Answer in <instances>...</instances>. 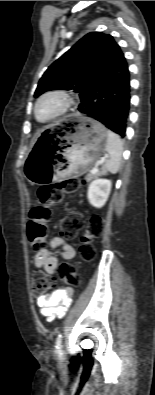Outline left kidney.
I'll list each match as a JSON object with an SVG mask.
<instances>
[{
  "mask_svg": "<svg viewBox=\"0 0 155 395\" xmlns=\"http://www.w3.org/2000/svg\"><path fill=\"white\" fill-rule=\"evenodd\" d=\"M112 183L108 179L98 178L93 180L88 188L89 203L96 207L101 208L108 200Z\"/></svg>",
  "mask_w": 155,
  "mask_h": 395,
  "instance_id": "1",
  "label": "left kidney"
}]
</instances>
